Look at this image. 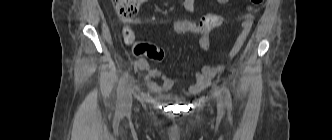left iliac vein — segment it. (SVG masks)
Segmentation results:
<instances>
[{
  "instance_id": "obj_1",
  "label": "left iliac vein",
  "mask_w": 332,
  "mask_h": 140,
  "mask_svg": "<svg viewBox=\"0 0 332 140\" xmlns=\"http://www.w3.org/2000/svg\"><path fill=\"white\" fill-rule=\"evenodd\" d=\"M217 106L220 111H223L225 108V102L221 94L217 95Z\"/></svg>"
}]
</instances>
